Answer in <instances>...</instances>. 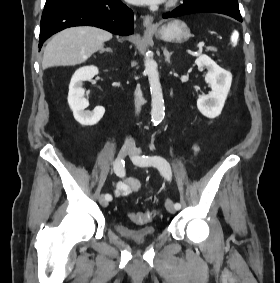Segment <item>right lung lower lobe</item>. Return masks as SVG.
I'll use <instances>...</instances> for the list:
<instances>
[{"label":"right lung lower lobe","instance_id":"98d812e1","mask_svg":"<svg viewBox=\"0 0 280 283\" xmlns=\"http://www.w3.org/2000/svg\"><path fill=\"white\" fill-rule=\"evenodd\" d=\"M134 14L120 0H63L45 6L39 49L53 34L74 26H95L118 35L134 32Z\"/></svg>","mask_w":280,"mask_h":283}]
</instances>
